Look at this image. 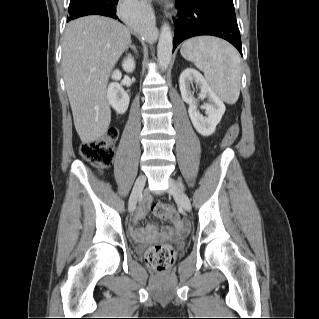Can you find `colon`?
I'll return each instance as SVG.
<instances>
[{"label":"colon","mask_w":319,"mask_h":319,"mask_svg":"<svg viewBox=\"0 0 319 319\" xmlns=\"http://www.w3.org/2000/svg\"><path fill=\"white\" fill-rule=\"evenodd\" d=\"M239 133V126H230L227 134L221 142L222 148H228L233 144ZM118 132L115 128H109L98 139L82 143L80 146L81 156L90 161L96 167L102 168L110 165L114 157V147ZM155 217L160 220L174 221L177 219L176 211L169 204H155L153 207ZM175 259V250L170 245L157 244L147 249L145 262L158 273H165Z\"/></svg>","instance_id":"1"}]
</instances>
